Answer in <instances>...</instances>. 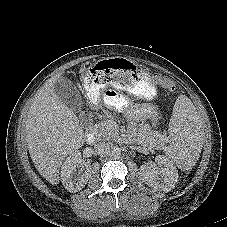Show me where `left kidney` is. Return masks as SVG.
<instances>
[{"label": "left kidney", "instance_id": "obj_1", "mask_svg": "<svg viewBox=\"0 0 227 227\" xmlns=\"http://www.w3.org/2000/svg\"><path fill=\"white\" fill-rule=\"evenodd\" d=\"M155 161L160 166L159 170L142 165L140 167V174L148 186L157 191L169 192L175 188L179 178L178 171L173 162L165 156L159 155Z\"/></svg>", "mask_w": 227, "mask_h": 227}]
</instances>
